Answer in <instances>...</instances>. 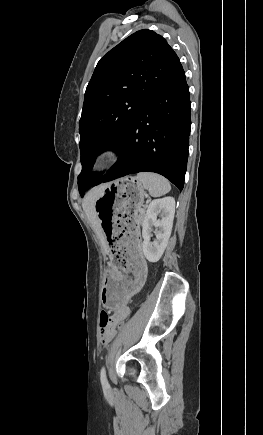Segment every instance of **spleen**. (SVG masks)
Returning <instances> with one entry per match:
<instances>
[{"mask_svg":"<svg viewBox=\"0 0 263 435\" xmlns=\"http://www.w3.org/2000/svg\"><path fill=\"white\" fill-rule=\"evenodd\" d=\"M137 178L153 197L162 196L171 190L169 181L159 174L141 172L137 174Z\"/></svg>","mask_w":263,"mask_h":435,"instance_id":"1","label":"spleen"}]
</instances>
